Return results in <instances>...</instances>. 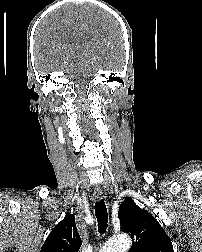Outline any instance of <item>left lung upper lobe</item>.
<instances>
[{
    "mask_svg": "<svg viewBox=\"0 0 202 252\" xmlns=\"http://www.w3.org/2000/svg\"><path fill=\"white\" fill-rule=\"evenodd\" d=\"M121 230L131 235L129 252H174L170 238L158 221L147 211L125 198L119 209Z\"/></svg>",
    "mask_w": 202,
    "mask_h": 252,
    "instance_id": "obj_1",
    "label": "left lung upper lobe"
}]
</instances>
